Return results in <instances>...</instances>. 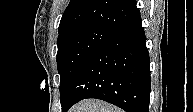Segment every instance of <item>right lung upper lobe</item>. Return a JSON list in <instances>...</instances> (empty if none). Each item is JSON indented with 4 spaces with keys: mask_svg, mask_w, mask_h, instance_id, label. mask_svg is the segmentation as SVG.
<instances>
[{
    "mask_svg": "<svg viewBox=\"0 0 193 112\" xmlns=\"http://www.w3.org/2000/svg\"><path fill=\"white\" fill-rule=\"evenodd\" d=\"M140 15L136 0H71L59 33L78 26H98L116 31Z\"/></svg>",
    "mask_w": 193,
    "mask_h": 112,
    "instance_id": "right-lung-upper-lobe-1",
    "label": "right lung upper lobe"
}]
</instances>
